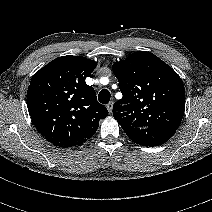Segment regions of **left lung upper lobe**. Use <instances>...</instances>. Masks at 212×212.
I'll return each mask as SVG.
<instances>
[{
    "instance_id": "obj_1",
    "label": "left lung upper lobe",
    "mask_w": 212,
    "mask_h": 212,
    "mask_svg": "<svg viewBox=\"0 0 212 212\" xmlns=\"http://www.w3.org/2000/svg\"><path fill=\"white\" fill-rule=\"evenodd\" d=\"M122 99L113 116L125 133L135 128L177 130L185 110V89L178 74L150 52L132 53L112 66Z\"/></svg>"
}]
</instances>
